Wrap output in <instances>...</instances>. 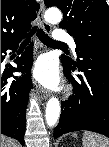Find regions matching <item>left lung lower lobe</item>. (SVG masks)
<instances>
[{
    "mask_svg": "<svg viewBox=\"0 0 109 147\" xmlns=\"http://www.w3.org/2000/svg\"><path fill=\"white\" fill-rule=\"evenodd\" d=\"M65 77L74 93L61 103V116L54 138L78 130L109 137V53L85 48L77 52L74 65L63 59ZM76 72L72 76L70 72Z\"/></svg>",
    "mask_w": 109,
    "mask_h": 147,
    "instance_id": "obj_1",
    "label": "left lung lower lobe"
}]
</instances>
